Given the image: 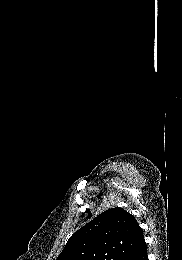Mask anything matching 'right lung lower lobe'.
<instances>
[{
    "label": "right lung lower lobe",
    "mask_w": 182,
    "mask_h": 260,
    "mask_svg": "<svg viewBox=\"0 0 182 260\" xmlns=\"http://www.w3.org/2000/svg\"><path fill=\"white\" fill-rule=\"evenodd\" d=\"M127 260H148L146 244L133 255H131Z\"/></svg>",
    "instance_id": "98d812e1"
}]
</instances>
